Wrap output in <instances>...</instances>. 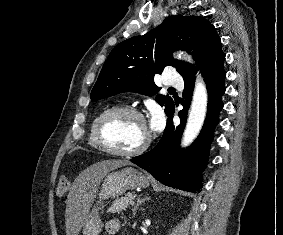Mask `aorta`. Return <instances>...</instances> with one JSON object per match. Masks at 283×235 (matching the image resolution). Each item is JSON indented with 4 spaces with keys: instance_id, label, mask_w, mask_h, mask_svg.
<instances>
[{
    "instance_id": "1",
    "label": "aorta",
    "mask_w": 283,
    "mask_h": 235,
    "mask_svg": "<svg viewBox=\"0 0 283 235\" xmlns=\"http://www.w3.org/2000/svg\"><path fill=\"white\" fill-rule=\"evenodd\" d=\"M180 57V55H178ZM186 60L192 62L190 56ZM207 89L200 75L197 76L190 112L182 136L181 145H190L201 131L207 112Z\"/></svg>"
}]
</instances>
